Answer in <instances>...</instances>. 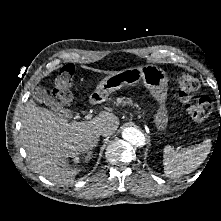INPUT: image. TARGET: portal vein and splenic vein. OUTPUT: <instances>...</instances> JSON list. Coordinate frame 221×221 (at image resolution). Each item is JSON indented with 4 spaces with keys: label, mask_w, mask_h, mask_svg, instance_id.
Segmentation results:
<instances>
[{
    "label": "portal vein and splenic vein",
    "mask_w": 221,
    "mask_h": 221,
    "mask_svg": "<svg viewBox=\"0 0 221 221\" xmlns=\"http://www.w3.org/2000/svg\"><path fill=\"white\" fill-rule=\"evenodd\" d=\"M91 117H92V115L89 114V115H87L85 118H86V119H90Z\"/></svg>",
    "instance_id": "obj_1"
}]
</instances>
